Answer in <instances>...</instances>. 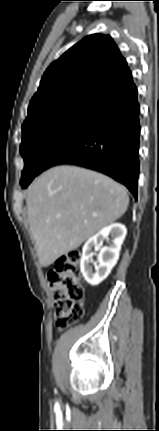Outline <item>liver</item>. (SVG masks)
<instances>
[{"mask_svg":"<svg viewBox=\"0 0 159 431\" xmlns=\"http://www.w3.org/2000/svg\"><path fill=\"white\" fill-rule=\"evenodd\" d=\"M27 216L37 255L47 267L118 220L127 210V190L95 171L57 166L28 188Z\"/></svg>","mask_w":159,"mask_h":431,"instance_id":"obj_1","label":"liver"}]
</instances>
